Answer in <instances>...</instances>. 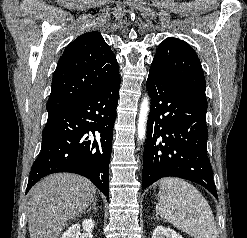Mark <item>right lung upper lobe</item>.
Returning a JSON list of instances; mask_svg holds the SVG:
<instances>
[{"label": "right lung upper lobe", "instance_id": "obj_1", "mask_svg": "<svg viewBox=\"0 0 247 238\" xmlns=\"http://www.w3.org/2000/svg\"><path fill=\"white\" fill-rule=\"evenodd\" d=\"M119 75L118 62L97 31L77 37L60 57L47 103L48 117L87 97Z\"/></svg>", "mask_w": 247, "mask_h": 238}]
</instances>
